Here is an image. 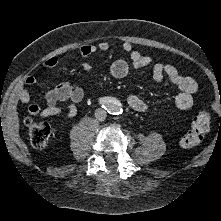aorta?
<instances>
[{
  "mask_svg": "<svg viewBox=\"0 0 221 221\" xmlns=\"http://www.w3.org/2000/svg\"><path fill=\"white\" fill-rule=\"evenodd\" d=\"M110 110H111L112 112H118V111H119V109H118L117 106H111V107H110Z\"/></svg>",
  "mask_w": 221,
  "mask_h": 221,
  "instance_id": "aorta-1",
  "label": "aorta"
}]
</instances>
